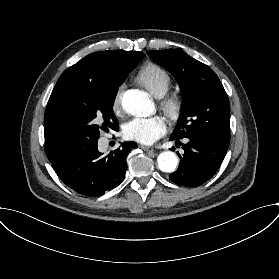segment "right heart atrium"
<instances>
[{
	"label": "right heart atrium",
	"mask_w": 279,
	"mask_h": 279,
	"mask_svg": "<svg viewBox=\"0 0 279 279\" xmlns=\"http://www.w3.org/2000/svg\"><path fill=\"white\" fill-rule=\"evenodd\" d=\"M123 88H124L123 85L119 86L114 94V97L112 100V109L114 112H117L119 110L120 99H121Z\"/></svg>",
	"instance_id": "obj_1"
}]
</instances>
